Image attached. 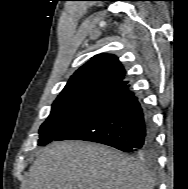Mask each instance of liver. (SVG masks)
Segmentation results:
<instances>
[{
  "instance_id": "liver-1",
  "label": "liver",
  "mask_w": 188,
  "mask_h": 189,
  "mask_svg": "<svg viewBox=\"0 0 188 189\" xmlns=\"http://www.w3.org/2000/svg\"><path fill=\"white\" fill-rule=\"evenodd\" d=\"M154 185L148 171L115 149L63 141L41 150L22 189H153Z\"/></svg>"
}]
</instances>
